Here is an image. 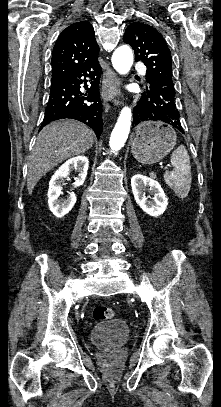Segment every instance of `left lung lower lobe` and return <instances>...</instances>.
Instances as JSON below:
<instances>
[{
	"instance_id": "1",
	"label": "left lung lower lobe",
	"mask_w": 221,
	"mask_h": 407,
	"mask_svg": "<svg viewBox=\"0 0 221 407\" xmlns=\"http://www.w3.org/2000/svg\"><path fill=\"white\" fill-rule=\"evenodd\" d=\"M150 120L164 122L184 133L175 102L174 87L159 81L148 84L134 108V123Z\"/></svg>"
}]
</instances>
